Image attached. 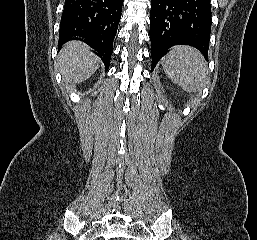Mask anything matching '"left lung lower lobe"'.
<instances>
[{
  "label": "left lung lower lobe",
  "instance_id": "1",
  "mask_svg": "<svg viewBox=\"0 0 257 240\" xmlns=\"http://www.w3.org/2000/svg\"><path fill=\"white\" fill-rule=\"evenodd\" d=\"M210 33V0H151V69L175 45L192 46L208 61Z\"/></svg>",
  "mask_w": 257,
  "mask_h": 240
}]
</instances>
